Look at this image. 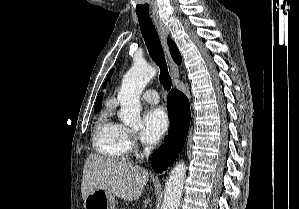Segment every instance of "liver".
Instances as JSON below:
<instances>
[{
	"mask_svg": "<svg viewBox=\"0 0 299 209\" xmlns=\"http://www.w3.org/2000/svg\"><path fill=\"white\" fill-rule=\"evenodd\" d=\"M149 174L141 166L90 154L84 165L82 198L96 189H103L121 199L137 200L148 181Z\"/></svg>",
	"mask_w": 299,
	"mask_h": 209,
	"instance_id": "obj_1",
	"label": "liver"
}]
</instances>
